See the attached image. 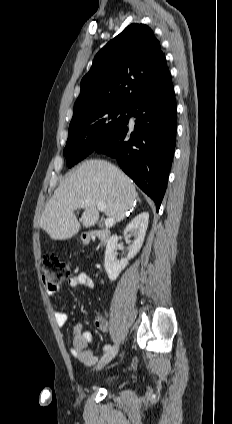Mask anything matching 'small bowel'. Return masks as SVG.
<instances>
[{
	"mask_svg": "<svg viewBox=\"0 0 232 424\" xmlns=\"http://www.w3.org/2000/svg\"><path fill=\"white\" fill-rule=\"evenodd\" d=\"M68 284L72 288L84 287L87 289H93L95 286L92 276L87 271H80L75 274L69 279ZM60 290L61 287L58 286L55 289H49L48 293L50 295H57ZM54 318L60 326L65 325L69 320L68 314L61 310L54 311ZM95 324L102 332H108V323L102 316L96 317ZM90 340L91 334L88 331L83 330L80 324H76L73 327V344L70 347V354L79 362L88 366L93 365L97 361V356L87 348Z\"/></svg>",
	"mask_w": 232,
	"mask_h": 424,
	"instance_id": "obj_1",
	"label": "small bowel"
}]
</instances>
